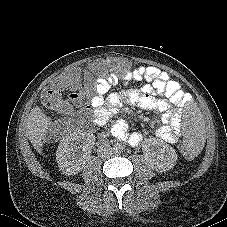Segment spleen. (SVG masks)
<instances>
[{"label":"spleen","mask_w":227,"mask_h":227,"mask_svg":"<svg viewBox=\"0 0 227 227\" xmlns=\"http://www.w3.org/2000/svg\"><path fill=\"white\" fill-rule=\"evenodd\" d=\"M182 119V140L191 153L200 152L206 145V129L202 108L193 102L184 103L179 109Z\"/></svg>","instance_id":"1"}]
</instances>
